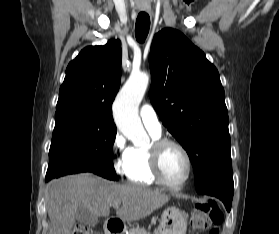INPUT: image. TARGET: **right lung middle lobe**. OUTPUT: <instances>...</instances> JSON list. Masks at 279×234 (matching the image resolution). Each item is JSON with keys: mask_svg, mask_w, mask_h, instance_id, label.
<instances>
[{"mask_svg": "<svg viewBox=\"0 0 279 234\" xmlns=\"http://www.w3.org/2000/svg\"><path fill=\"white\" fill-rule=\"evenodd\" d=\"M46 179L63 175L62 170L82 166L110 180H118L112 149L116 126L79 112L55 114Z\"/></svg>", "mask_w": 279, "mask_h": 234, "instance_id": "right-lung-middle-lobe-1", "label": "right lung middle lobe"}]
</instances>
